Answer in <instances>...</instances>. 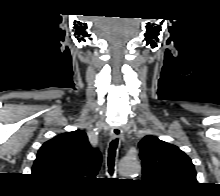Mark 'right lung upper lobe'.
I'll list each match as a JSON object with an SVG mask.
<instances>
[{
	"label": "right lung upper lobe",
	"instance_id": "right-lung-upper-lobe-1",
	"mask_svg": "<svg viewBox=\"0 0 220 196\" xmlns=\"http://www.w3.org/2000/svg\"><path fill=\"white\" fill-rule=\"evenodd\" d=\"M101 153L93 149L86 133L76 130L59 134L39 149L32 175L49 184L73 188L85 178H95Z\"/></svg>",
	"mask_w": 220,
	"mask_h": 196
}]
</instances>
